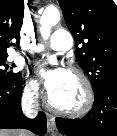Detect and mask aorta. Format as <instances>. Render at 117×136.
<instances>
[{
	"label": "aorta",
	"instance_id": "762f6f07",
	"mask_svg": "<svg viewBox=\"0 0 117 136\" xmlns=\"http://www.w3.org/2000/svg\"><path fill=\"white\" fill-rule=\"evenodd\" d=\"M60 19V13L56 8H46L40 17V32L44 39H47L51 33V27L58 23ZM51 64H57L55 56L49 58Z\"/></svg>",
	"mask_w": 117,
	"mask_h": 136
}]
</instances>
